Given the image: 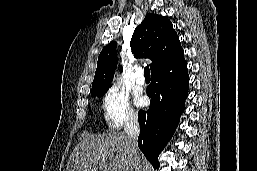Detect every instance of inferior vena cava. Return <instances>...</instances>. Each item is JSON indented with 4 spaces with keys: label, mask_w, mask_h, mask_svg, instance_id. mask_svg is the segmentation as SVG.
<instances>
[{
    "label": "inferior vena cava",
    "mask_w": 257,
    "mask_h": 171,
    "mask_svg": "<svg viewBox=\"0 0 257 171\" xmlns=\"http://www.w3.org/2000/svg\"><path fill=\"white\" fill-rule=\"evenodd\" d=\"M125 134L130 140V156L132 160V171H142L140 160L138 158L137 138L140 132L138 117L136 114H131L125 123Z\"/></svg>",
    "instance_id": "obj_1"
}]
</instances>
